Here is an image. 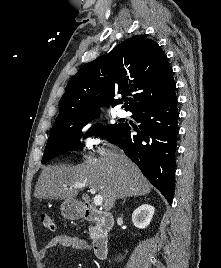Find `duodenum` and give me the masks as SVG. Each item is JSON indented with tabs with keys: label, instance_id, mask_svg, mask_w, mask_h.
Here are the masks:
<instances>
[{
	"label": "duodenum",
	"instance_id": "410a0bca",
	"mask_svg": "<svg viewBox=\"0 0 221 268\" xmlns=\"http://www.w3.org/2000/svg\"><path fill=\"white\" fill-rule=\"evenodd\" d=\"M82 217L88 221L96 222L99 226L96 237L92 243L94 255L98 259H104L108 250V234L114 225V219L110 214L101 212L91 206H84Z\"/></svg>",
	"mask_w": 221,
	"mask_h": 268
}]
</instances>
